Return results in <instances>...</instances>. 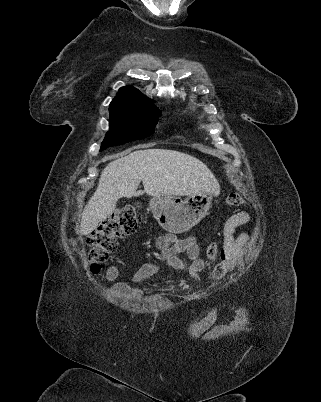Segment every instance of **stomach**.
<instances>
[{
	"label": "stomach",
	"instance_id": "0dacf381",
	"mask_svg": "<svg viewBox=\"0 0 321 402\" xmlns=\"http://www.w3.org/2000/svg\"><path fill=\"white\" fill-rule=\"evenodd\" d=\"M216 194H193L185 199L179 196H153L149 205L154 218L166 231L180 234L197 225L212 206Z\"/></svg>",
	"mask_w": 321,
	"mask_h": 402
}]
</instances>
